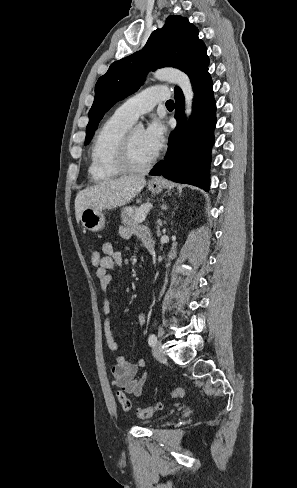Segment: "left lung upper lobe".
<instances>
[{"label":"left lung upper lobe","instance_id":"1","mask_svg":"<svg viewBox=\"0 0 297 488\" xmlns=\"http://www.w3.org/2000/svg\"><path fill=\"white\" fill-rule=\"evenodd\" d=\"M209 59L198 29L179 15L167 18L162 29L155 30L143 50L112 63L95 85V100L89 112L85 144H88L104 114L119 100L134 93L147 73L157 68L176 67L184 71L193 84L208 73ZM181 91L175 87V92Z\"/></svg>","mask_w":297,"mask_h":488}]
</instances>
